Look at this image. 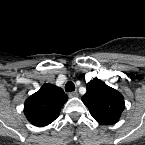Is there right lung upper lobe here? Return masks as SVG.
<instances>
[{"label": "right lung upper lobe", "instance_id": "cb5924a9", "mask_svg": "<svg viewBox=\"0 0 145 145\" xmlns=\"http://www.w3.org/2000/svg\"><path fill=\"white\" fill-rule=\"evenodd\" d=\"M67 100L68 96L61 88L44 84L25 101L24 114L31 124L38 127L46 126L59 116Z\"/></svg>", "mask_w": 145, "mask_h": 145}]
</instances>
